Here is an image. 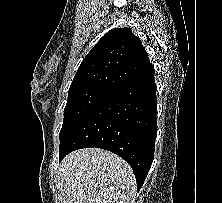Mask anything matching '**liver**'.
Listing matches in <instances>:
<instances>
[{"instance_id":"liver-1","label":"liver","mask_w":222,"mask_h":203,"mask_svg":"<svg viewBox=\"0 0 222 203\" xmlns=\"http://www.w3.org/2000/svg\"><path fill=\"white\" fill-rule=\"evenodd\" d=\"M67 203H134L136 179L130 165L102 149L67 155L60 165Z\"/></svg>"}]
</instances>
